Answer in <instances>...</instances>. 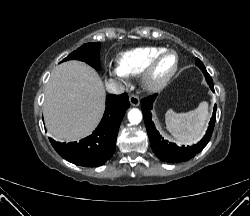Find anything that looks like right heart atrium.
<instances>
[{
    "label": "right heart atrium",
    "instance_id": "obj_1",
    "mask_svg": "<svg viewBox=\"0 0 250 216\" xmlns=\"http://www.w3.org/2000/svg\"><path fill=\"white\" fill-rule=\"evenodd\" d=\"M114 73L119 76V77H123L124 73L119 69V67L114 69Z\"/></svg>",
    "mask_w": 250,
    "mask_h": 216
}]
</instances>
